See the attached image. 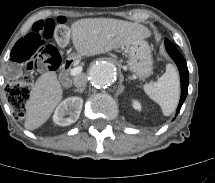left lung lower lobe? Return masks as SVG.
I'll use <instances>...</instances> for the list:
<instances>
[{
	"label": "left lung lower lobe",
	"mask_w": 215,
	"mask_h": 183,
	"mask_svg": "<svg viewBox=\"0 0 215 183\" xmlns=\"http://www.w3.org/2000/svg\"><path fill=\"white\" fill-rule=\"evenodd\" d=\"M165 47H166L168 54L171 56V58L176 63L179 73H180L181 97H180L179 105H178V108L176 111V115H177L179 113L181 106H182L183 102L185 101L187 93H188L189 72H188V68H187L185 59L182 57V55L177 51V49L168 39H165Z\"/></svg>",
	"instance_id": "obj_1"
}]
</instances>
